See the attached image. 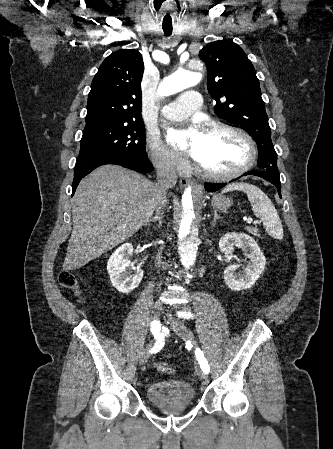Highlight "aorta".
<instances>
[{
    "label": "aorta",
    "instance_id": "762f6f07",
    "mask_svg": "<svg viewBox=\"0 0 333 449\" xmlns=\"http://www.w3.org/2000/svg\"><path fill=\"white\" fill-rule=\"evenodd\" d=\"M185 66V70L176 71L163 79L157 90L158 95L169 96L200 82L199 73L205 66L203 61L192 57L185 62ZM202 194L203 186L198 184L193 187L188 186L182 196L184 215L176 229V236L180 260L185 268L193 266L197 258L199 230L190 207L192 201H197Z\"/></svg>",
    "mask_w": 333,
    "mask_h": 449
}]
</instances>
